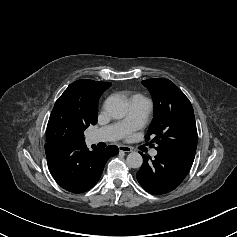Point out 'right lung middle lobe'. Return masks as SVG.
Listing matches in <instances>:
<instances>
[{"instance_id":"obj_1","label":"right lung middle lobe","mask_w":237,"mask_h":237,"mask_svg":"<svg viewBox=\"0 0 237 237\" xmlns=\"http://www.w3.org/2000/svg\"><path fill=\"white\" fill-rule=\"evenodd\" d=\"M89 124L91 122L85 120L74 107L66 102L56 101L48 121L46 141L83 143V132Z\"/></svg>"}]
</instances>
